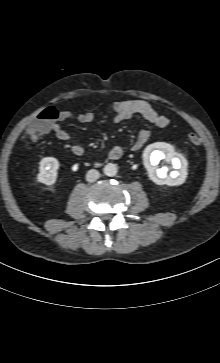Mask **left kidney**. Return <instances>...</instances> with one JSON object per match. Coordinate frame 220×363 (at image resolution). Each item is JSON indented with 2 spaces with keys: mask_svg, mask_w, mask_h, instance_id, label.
Masks as SVG:
<instances>
[{
  "mask_svg": "<svg viewBox=\"0 0 220 363\" xmlns=\"http://www.w3.org/2000/svg\"><path fill=\"white\" fill-rule=\"evenodd\" d=\"M162 159L171 163L175 170L167 174V167L159 168L157 165ZM143 163L150 180L157 185L178 186L185 182L188 175L187 160L165 142L148 145L143 152Z\"/></svg>",
  "mask_w": 220,
  "mask_h": 363,
  "instance_id": "1",
  "label": "left kidney"
}]
</instances>
